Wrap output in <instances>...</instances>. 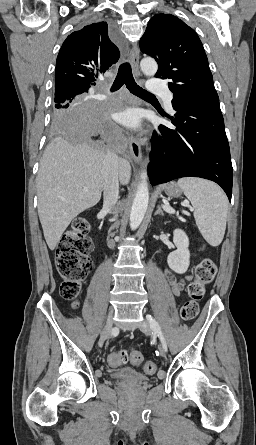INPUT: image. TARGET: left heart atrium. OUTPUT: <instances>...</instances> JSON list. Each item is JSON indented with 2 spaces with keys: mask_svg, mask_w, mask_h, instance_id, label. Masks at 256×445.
Masks as SVG:
<instances>
[{
  "mask_svg": "<svg viewBox=\"0 0 256 445\" xmlns=\"http://www.w3.org/2000/svg\"><path fill=\"white\" fill-rule=\"evenodd\" d=\"M115 118L121 124L131 128H138L141 124V113L136 108H126L118 111L115 113Z\"/></svg>",
  "mask_w": 256,
  "mask_h": 445,
  "instance_id": "obj_1",
  "label": "left heart atrium"
}]
</instances>
